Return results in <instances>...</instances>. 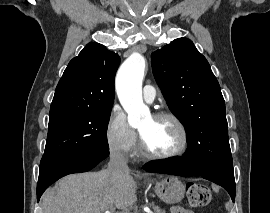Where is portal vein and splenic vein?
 I'll use <instances>...</instances> for the list:
<instances>
[{
    "label": "portal vein and splenic vein",
    "instance_id": "1",
    "mask_svg": "<svg viewBox=\"0 0 270 213\" xmlns=\"http://www.w3.org/2000/svg\"><path fill=\"white\" fill-rule=\"evenodd\" d=\"M104 213H122V212H114V209L106 210Z\"/></svg>",
    "mask_w": 270,
    "mask_h": 213
}]
</instances>
